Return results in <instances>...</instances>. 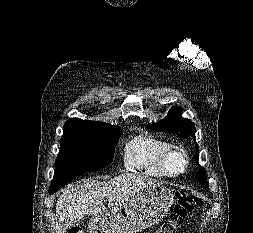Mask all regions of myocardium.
Instances as JSON below:
<instances>
[{
	"label": "myocardium",
	"instance_id": "1",
	"mask_svg": "<svg viewBox=\"0 0 253 233\" xmlns=\"http://www.w3.org/2000/svg\"><path fill=\"white\" fill-rule=\"evenodd\" d=\"M178 162V167L174 163ZM190 164V157L186 150L182 148H169L163 153L159 160V165L166 176L177 177L184 174Z\"/></svg>",
	"mask_w": 253,
	"mask_h": 233
}]
</instances>
